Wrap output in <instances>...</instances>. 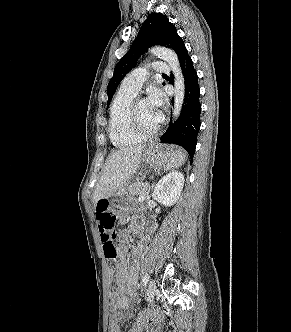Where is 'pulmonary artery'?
Here are the masks:
<instances>
[{
	"label": "pulmonary artery",
	"instance_id": "1",
	"mask_svg": "<svg viewBox=\"0 0 291 332\" xmlns=\"http://www.w3.org/2000/svg\"><path fill=\"white\" fill-rule=\"evenodd\" d=\"M151 67L157 73L167 74L170 71L169 66L162 61L152 63ZM148 76L146 67L137 68L124 78L121 88L137 94Z\"/></svg>",
	"mask_w": 291,
	"mask_h": 332
}]
</instances>
